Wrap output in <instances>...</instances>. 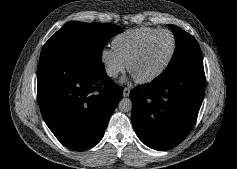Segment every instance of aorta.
I'll return each instance as SVG.
<instances>
[{
    "mask_svg": "<svg viewBox=\"0 0 237 169\" xmlns=\"http://www.w3.org/2000/svg\"><path fill=\"white\" fill-rule=\"evenodd\" d=\"M118 108L123 113L130 112L132 110V101L129 98H122L118 104Z\"/></svg>",
    "mask_w": 237,
    "mask_h": 169,
    "instance_id": "aorta-1",
    "label": "aorta"
}]
</instances>
